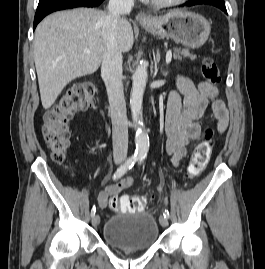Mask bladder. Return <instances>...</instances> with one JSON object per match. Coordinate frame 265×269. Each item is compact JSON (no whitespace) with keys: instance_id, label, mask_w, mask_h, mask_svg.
Returning a JSON list of instances; mask_svg holds the SVG:
<instances>
[{"instance_id":"1","label":"bladder","mask_w":265,"mask_h":269,"mask_svg":"<svg viewBox=\"0 0 265 269\" xmlns=\"http://www.w3.org/2000/svg\"><path fill=\"white\" fill-rule=\"evenodd\" d=\"M105 242L119 250H147L159 238L155 217L146 211L111 216L103 229Z\"/></svg>"}]
</instances>
